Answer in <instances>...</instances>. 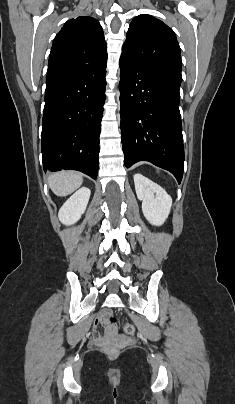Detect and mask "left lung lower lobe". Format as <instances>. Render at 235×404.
<instances>
[{
  "mask_svg": "<svg viewBox=\"0 0 235 404\" xmlns=\"http://www.w3.org/2000/svg\"><path fill=\"white\" fill-rule=\"evenodd\" d=\"M119 64L125 166L149 161L170 171L180 183L184 169L181 81L124 55Z\"/></svg>",
  "mask_w": 235,
  "mask_h": 404,
  "instance_id": "obj_1",
  "label": "left lung lower lobe"
}]
</instances>
